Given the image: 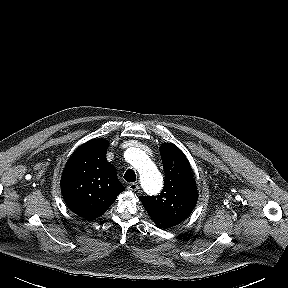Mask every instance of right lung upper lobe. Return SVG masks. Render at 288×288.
<instances>
[{
	"instance_id": "1",
	"label": "right lung upper lobe",
	"mask_w": 288,
	"mask_h": 288,
	"mask_svg": "<svg viewBox=\"0 0 288 288\" xmlns=\"http://www.w3.org/2000/svg\"><path fill=\"white\" fill-rule=\"evenodd\" d=\"M108 143L92 140L82 145L67 162L61 192L75 214L95 219L104 214L124 191L112 164L107 162Z\"/></svg>"
}]
</instances>
